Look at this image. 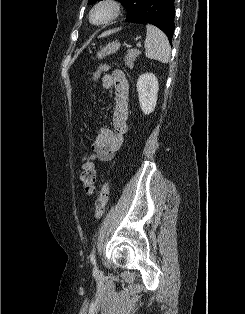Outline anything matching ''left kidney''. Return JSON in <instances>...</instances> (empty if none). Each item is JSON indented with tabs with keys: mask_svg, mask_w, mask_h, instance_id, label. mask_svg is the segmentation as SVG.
Returning <instances> with one entry per match:
<instances>
[{
	"mask_svg": "<svg viewBox=\"0 0 245 314\" xmlns=\"http://www.w3.org/2000/svg\"><path fill=\"white\" fill-rule=\"evenodd\" d=\"M137 92L141 110L145 115H149L155 109L159 84L153 73H145L139 76L137 81Z\"/></svg>",
	"mask_w": 245,
	"mask_h": 314,
	"instance_id": "obj_1",
	"label": "left kidney"
}]
</instances>
